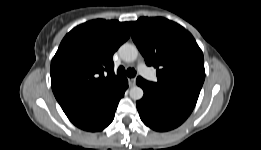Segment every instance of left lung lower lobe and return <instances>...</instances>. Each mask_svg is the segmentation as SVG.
I'll use <instances>...</instances> for the list:
<instances>
[{"mask_svg":"<svg viewBox=\"0 0 261 150\" xmlns=\"http://www.w3.org/2000/svg\"><path fill=\"white\" fill-rule=\"evenodd\" d=\"M144 96L136 102L141 120L156 131H168L182 124L192 112L198 97L177 89H161L137 78Z\"/></svg>","mask_w":261,"mask_h":150,"instance_id":"1","label":"left lung lower lobe"}]
</instances>
